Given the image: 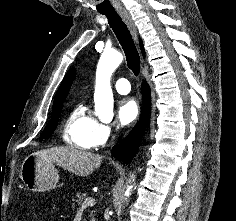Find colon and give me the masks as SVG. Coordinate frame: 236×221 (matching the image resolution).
I'll return each instance as SVG.
<instances>
[{"mask_svg":"<svg viewBox=\"0 0 236 221\" xmlns=\"http://www.w3.org/2000/svg\"><path fill=\"white\" fill-rule=\"evenodd\" d=\"M16 221H22V220L18 219V220H16Z\"/></svg>","mask_w":236,"mask_h":221,"instance_id":"5ec220e1","label":"colon"}]
</instances>
